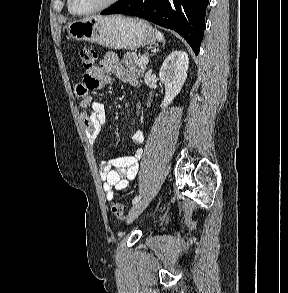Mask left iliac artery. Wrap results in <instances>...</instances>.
Instances as JSON below:
<instances>
[{
	"label": "left iliac artery",
	"mask_w": 288,
	"mask_h": 293,
	"mask_svg": "<svg viewBox=\"0 0 288 293\" xmlns=\"http://www.w3.org/2000/svg\"><path fill=\"white\" fill-rule=\"evenodd\" d=\"M140 199H141V196H140V195H139V196H136V197L133 199L132 203H133V204H136L137 202L140 201Z\"/></svg>",
	"instance_id": "left-iliac-artery-1"
}]
</instances>
